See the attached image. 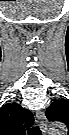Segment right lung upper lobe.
Listing matches in <instances>:
<instances>
[{
  "label": "right lung upper lobe",
  "instance_id": "cb5924a9",
  "mask_svg": "<svg viewBox=\"0 0 69 135\" xmlns=\"http://www.w3.org/2000/svg\"><path fill=\"white\" fill-rule=\"evenodd\" d=\"M34 122L32 113L15 103L0 108V126L3 135H24L25 128Z\"/></svg>",
  "mask_w": 69,
  "mask_h": 135
}]
</instances>
